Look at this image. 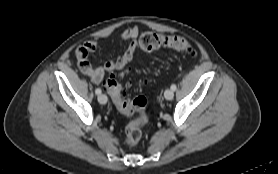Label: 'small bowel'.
Returning a JSON list of instances; mask_svg holds the SVG:
<instances>
[{"label":"small bowel","mask_w":278,"mask_h":174,"mask_svg":"<svg viewBox=\"0 0 278 174\" xmlns=\"http://www.w3.org/2000/svg\"><path fill=\"white\" fill-rule=\"evenodd\" d=\"M138 34L139 30L136 26L124 30L122 33V40L127 43L125 52L117 59L106 61L103 65L97 66L92 65L88 60V56L97 49V41H86L75 51L80 71L89 77L94 84H100L104 78L105 72L123 70L139 50V43L137 41Z\"/></svg>","instance_id":"1"}]
</instances>
